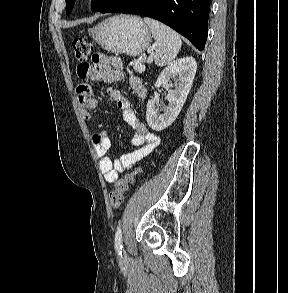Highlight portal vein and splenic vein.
Instances as JSON below:
<instances>
[{
	"mask_svg": "<svg viewBox=\"0 0 288 293\" xmlns=\"http://www.w3.org/2000/svg\"><path fill=\"white\" fill-rule=\"evenodd\" d=\"M152 59H153V58L150 57V58L148 59V62H151ZM134 69H135L136 71H138L139 73H142V72L145 71V65H142V64L135 65V66H134Z\"/></svg>",
	"mask_w": 288,
	"mask_h": 293,
	"instance_id": "1",
	"label": "portal vein and splenic vein"
}]
</instances>
